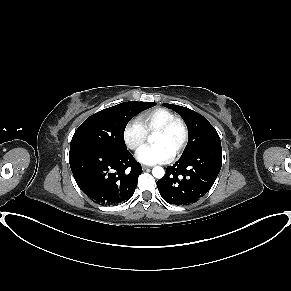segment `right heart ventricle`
<instances>
[{"mask_svg": "<svg viewBox=\"0 0 291 291\" xmlns=\"http://www.w3.org/2000/svg\"><path fill=\"white\" fill-rule=\"evenodd\" d=\"M174 118H176V115L172 111L160 107L140 113L136 120L147 133H153Z\"/></svg>", "mask_w": 291, "mask_h": 291, "instance_id": "right-heart-ventricle-1", "label": "right heart ventricle"}]
</instances>
